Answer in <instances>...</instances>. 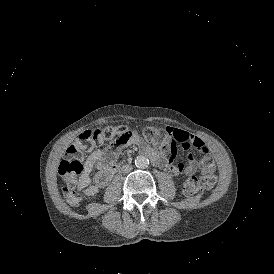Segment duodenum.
Returning <instances> with one entry per match:
<instances>
[{
    "label": "duodenum",
    "mask_w": 274,
    "mask_h": 274,
    "mask_svg": "<svg viewBox=\"0 0 274 274\" xmlns=\"http://www.w3.org/2000/svg\"><path fill=\"white\" fill-rule=\"evenodd\" d=\"M142 154L147 155V156H149V157L152 158V159L155 158V154H154L153 151H151L150 149H145V150H143V151H142ZM119 166H120V165L117 164V165L115 166V169H118Z\"/></svg>",
    "instance_id": "1"
}]
</instances>
